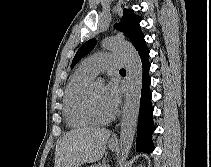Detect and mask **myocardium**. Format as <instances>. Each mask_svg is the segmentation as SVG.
Wrapping results in <instances>:
<instances>
[{
	"instance_id": "myocardium-1",
	"label": "myocardium",
	"mask_w": 211,
	"mask_h": 167,
	"mask_svg": "<svg viewBox=\"0 0 211 167\" xmlns=\"http://www.w3.org/2000/svg\"><path fill=\"white\" fill-rule=\"evenodd\" d=\"M92 84H90L83 97V107L86 112V114L89 116V118L95 123V124H107L111 122L115 118V113L110 115L109 117H100L96 114V112L93 109L92 106V99H91V91H92Z\"/></svg>"
}]
</instances>
